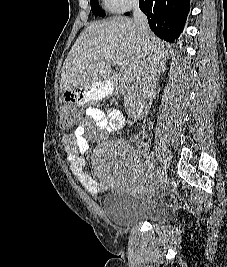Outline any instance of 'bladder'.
Wrapping results in <instances>:
<instances>
[{"label": "bladder", "mask_w": 227, "mask_h": 267, "mask_svg": "<svg viewBox=\"0 0 227 267\" xmlns=\"http://www.w3.org/2000/svg\"><path fill=\"white\" fill-rule=\"evenodd\" d=\"M107 218L116 226L130 228L138 223H165L172 217V210L156 200L142 201L118 189L107 191L103 201Z\"/></svg>", "instance_id": "1"}]
</instances>
